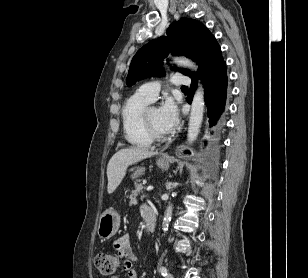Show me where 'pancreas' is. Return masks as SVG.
I'll return each instance as SVG.
<instances>
[{
	"instance_id": "obj_1",
	"label": "pancreas",
	"mask_w": 308,
	"mask_h": 278,
	"mask_svg": "<svg viewBox=\"0 0 308 278\" xmlns=\"http://www.w3.org/2000/svg\"><path fill=\"white\" fill-rule=\"evenodd\" d=\"M143 189H145L143 187L142 184H139L136 186V189L133 190L129 196V199H130V202H129V205H136L137 204V199L136 197L140 194V193H143ZM144 195L141 196V198H143Z\"/></svg>"
}]
</instances>
